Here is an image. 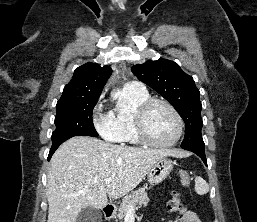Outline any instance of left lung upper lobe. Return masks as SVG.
<instances>
[{
	"mask_svg": "<svg viewBox=\"0 0 257 222\" xmlns=\"http://www.w3.org/2000/svg\"><path fill=\"white\" fill-rule=\"evenodd\" d=\"M133 74L169 101L185 122L182 148L204 149L200 92L193 78L184 73L174 61L160 58L134 65Z\"/></svg>",
	"mask_w": 257,
	"mask_h": 222,
	"instance_id": "left-lung-upper-lobe-1",
	"label": "left lung upper lobe"
}]
</instances>
